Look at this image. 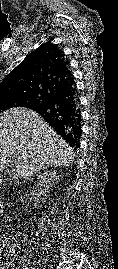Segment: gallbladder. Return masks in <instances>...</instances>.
Wrapping results in <instances>:
<instances>
[{
	"mask_svg": "<svg viewBox=\"0 0 118 269\" xmlns=\"http://www.w3.org/2000/svg\"><path fill=\"white\" fill-rule=\"evenodd\" d=\"M5 174H9V170L8 169L5 171Z\"/></svg>",
	"mask_w": 118,
	"mask_h": 269,
	"instance_id": "obj_1",
	"label": "gallbladder"
}]
</instances>
